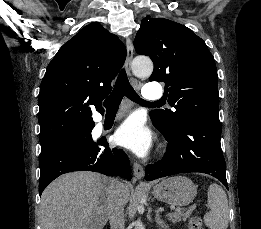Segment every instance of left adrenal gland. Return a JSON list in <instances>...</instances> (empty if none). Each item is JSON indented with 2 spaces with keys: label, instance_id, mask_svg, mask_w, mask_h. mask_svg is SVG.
Here are the masks:
<instances>
[{
  "label": "left adrenal gland",
  "instance_id": "1",
  "mask_svg": "<svg viewBox=\"0 0 261 229\" xmlns=\"http://www.w3.org/2000/svg\"><path fill=\"white\" fill-rule=\"evenodd\" d=\"M156 223L159 225V227H161V229H169L168 225H166V223L160 219L159 211H156Z\"/></svg>",
  "mask_w": 261,
  "mask_h": 229
}]
</instances>
